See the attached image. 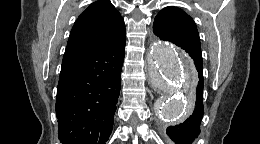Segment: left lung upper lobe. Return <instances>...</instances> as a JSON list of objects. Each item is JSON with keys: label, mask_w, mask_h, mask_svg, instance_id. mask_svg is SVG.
I'll return each instance as SVG.
<instances>
[{"label": "left lung upper lobe", "mask_w": 260, "mask_h": 144, "mask_svg": "<svg viewBox=\"0 0 260 144\" xmlns=\"http://www.w3.org/2000/svg\"><path fill=\"white\" fill-rule=\"evenodd\" d=\"M153 32L161 40L174 44H190L201 48L200 37L193 19L183 10L169 6L155 17ZM199 79H203L202 58L194 62Z\"/></svg>", "instance_id": "1"}]
</instances>
